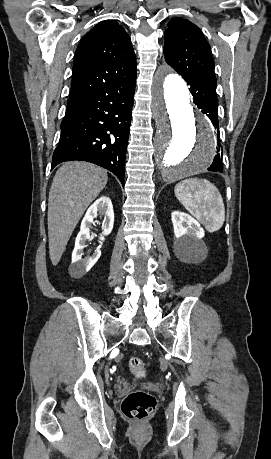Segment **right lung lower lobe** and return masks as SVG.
Here are the masks:
<instances>
[{"mask_svg":"<svg viewBox=\"0 0 271 459\" xmlns=\"http://www.w3.org/2000/svg\"><path fill=\"white\" fill-rule=\"evenodd\" d=\"M135 86L136 74L66 109L51 169L65 161H88L113 172L124 184Z\"/></svg>","mask_w":271,"mask_h":459,"instance_id":"right-lung-lower-lobe-1","label":"right lung lower lobe"}]
</instances>
